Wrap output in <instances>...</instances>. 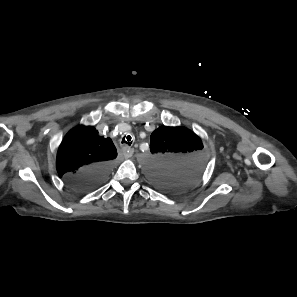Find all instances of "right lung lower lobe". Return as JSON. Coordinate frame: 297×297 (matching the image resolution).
Wrapping results in <instances>:
<instances>
[{
    "instance_id": "obj_1",
    "label": "right lung lower lobe",
    "mask_w": 297,
    "mask_h": 297,
    "mask_svg": "<svg viewBox=\"0 0 297 297\" xmlns=\"http://www.w3.org/2000/svg\"><path fill=\"white\" fill-rule=\"evenodd\" d=\"M110 169L111 164L100 163L87 167L66 180L78 191H89L106 180Z\"/></svg>"
}]
</instances>
